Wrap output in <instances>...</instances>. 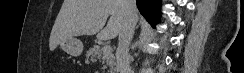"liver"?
<instances>
[{
    "instance_id": "6515ba94",
    "label": "liver",
    "mask_w": 244,
    "mask_h": 73,
    "mask_svg": "<svg viewBox=\"0 0 244 73\" xmlns=\"http://www.w3.org/2000/svg\"><path fill=\"white\" fill-rule=\"evenodd\" d=\"M123 24L122 0H64L51 31L49 48L54 51L61 41L74 36L97 34L100 40L113 39Z\"/></svg>"
}]
</instances>
